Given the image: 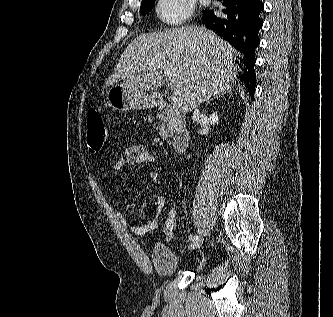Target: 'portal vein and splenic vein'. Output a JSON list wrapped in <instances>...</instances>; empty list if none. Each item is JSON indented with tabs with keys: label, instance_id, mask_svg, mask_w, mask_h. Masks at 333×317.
Instances as JSON below:
<instances>
[{
	"label": "portal vein and splenic vein",
	"instance_id": "18ae733b",
	"mask_svg": "<svg viewBox=\"0 0 333 317\" xmlns=\"http://www.w3.org/2000/svg\"><path fill=\"white\" fill-rule=\"evenodd\" d=\"M171 103L173 107L180 108L182 106V99L179 96H174L171 100Z\"/></svg>",
	"mask_w": 333,
	"mask_h": 317
}]
</instances>
